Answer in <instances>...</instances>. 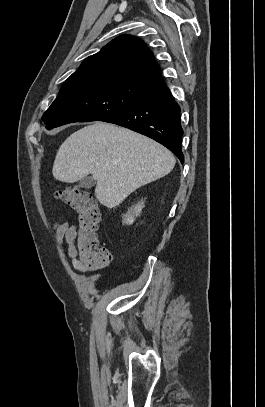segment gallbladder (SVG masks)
Masks as SVG:
<instances>
[{
  "mask_svg": "<svg viewBox=\"0 0 265 407\" xmlns=\"http://www.w3.org/2000/svg\"><path fill=\"white\" fill-rule=\"evenodd\" d=\"M96 184V180L91 177H84L79 181V187L85 188V189H90Z\"/></svg>",
  "mask_w": 265,
  "mask_h": 407,
  "instance_id": "gallbladder-1",
  "label": "gallbladder"
}]
</instances>
